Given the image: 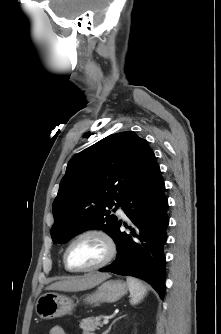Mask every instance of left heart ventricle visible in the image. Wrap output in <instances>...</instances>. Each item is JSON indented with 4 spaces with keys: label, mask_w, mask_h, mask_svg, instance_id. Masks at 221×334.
Segmentation results:
<instances>
[{
    "label": "left heart ventricle",
    "mask_w": 221,
    "mask_h": 334,
    "mask_svg": "<svg viewBox=\"0 0 221 334\" xmlns=\"http://www.w3.org/2000/svg\"><path fill=\"white\" fill-rule=\"evenodd\" d=\"M106 255L105 243L98 237L88 236L78 240L70 249L71 266L85 268L99 263Z\"/></svg>",
    "instance_id": "obj_1"
}]
</instances>
